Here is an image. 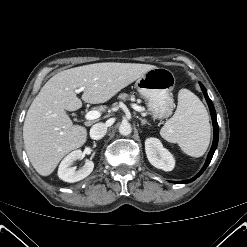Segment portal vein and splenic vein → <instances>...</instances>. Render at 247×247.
Wrapping results in <instances>:
<instances>
[{"mask_svg":"<svg viewBox=\"0 0 247 247\" xmlns=\"http://www.w3.org/2000/svg\"><path fill=\"white\" fill-rule=\"evenodd\" d=\"M83 88H80V89H77L75 90V92H80L82 91ZM133 109H135L136 111H140L142 110L141 107L137 106L136 104H133L132 105ZM101 116L100 112L99 111H96V110H92V111H89L85 114V119L86 120H95L97 118H99Z\"/></svg>","mask_w":247,"mask_h":247,"instance_id":"obj_1","label":"portal vein and splenic vein"}]
</instances>
